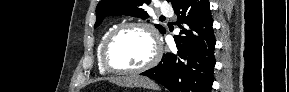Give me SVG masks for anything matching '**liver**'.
Listing matches in <instances>:
<instances>
[{
	"label": "liver",
	"mask_w": 289,
	"mask_h": 92,
	"mask_svg": "<svg viewBox=\"0 0 289 92\" xmlns=\"http://www.w3.org/2000/svg\"><path fill=\"white\" fill-rule=\"evenodd\" d=\"M117 83L121 84V85H148L151 82L149 80H145V79H118L116 80Z\"/></svg>",
	"instance_id": "obj_1"
}]
</instances>
